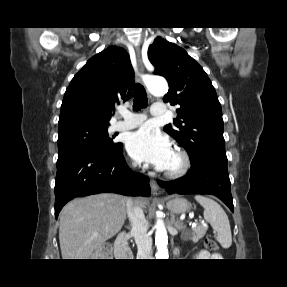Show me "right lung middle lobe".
Masks as SVG:
<instances>
[{"label": "right lung middle lobe", "mask_w": 287, "mask_h": 287, "mask_svg": "<svg viewBox=\"0 0 287 287\" xmlns=\"http://www.w3.org/2000/svg\"><path fill=\"white\" fill-rule=\"evenodd\" d=\"M107 130V125L87 122L59 127L58 156L72 152L113 156L121 149L122 144L113 142L115 136H109Z\"/></svg>", "instance_id": "obj_1"}]
</instances>
